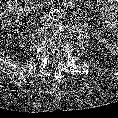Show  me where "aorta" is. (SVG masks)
Wrapping results in <instances>:
<instances>
[{
  "instance_id": "obj_1",
  "label": "aorta",
  "mask_w": 118,
  "mask_h": 118,
  "mask_svg": "<svg viewBox=\"0 0 118 118\" xmlns=\"http://www.w3.org/2000/svg\"><path fill=\"white\" fill-rule=\"evenodd\" d=\"M49 16L53 19L60 17V12L57 9L51 10Z\"/></svg>"
}]
</instances>
